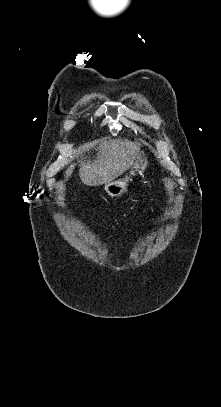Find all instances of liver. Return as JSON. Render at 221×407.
I'll return each instance as SVG.
<instances>
[{
	"label": "liver",
	"instance_id": "liver-1",
	"mask_svg": "<svg viewBox=\"0 0 221 407\" xmlns=\"http://www.w3.org/2000/svg\"><path fill=\"white\" fill-rule=\"evenodd\" d=\"M93 146H96L95 159L91 160L86 156L78 160L79 177L87 186H97L113 181L130 168L140 150V144L128 139H102L86 143L81 149L90 151ZM75 165L76 163H73L66 169V179L72 175Z\"/></svg>",
	"mask_w": 221,
	"mask_h": 407
}]
</instances>
